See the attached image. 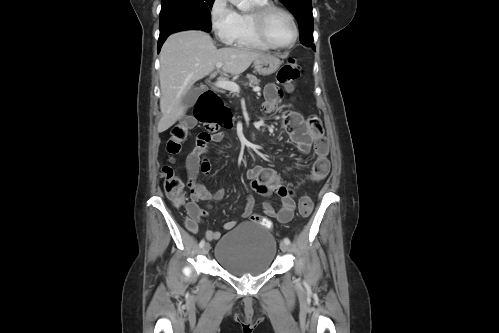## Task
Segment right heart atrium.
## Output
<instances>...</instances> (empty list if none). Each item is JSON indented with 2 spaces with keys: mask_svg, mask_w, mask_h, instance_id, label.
Masks as SVG:
<instances>
[{
  "mask_svg": "<svg viewBox=\"0 0 499 333\" xmlns=\"http://www.w3.org/2000/svg\"><path fill=\"white\" fill-rule=\"evenodd\" d=\"M211 29L216 38L231 44L237 28V12L228 0H213L209 9Z\"/></svg>",
  "mask_w": 499,
  "mask_h": 333,
  "instance_id": "d8ad5b80",
  "label": "right heart atrium"
}]
</instances>
